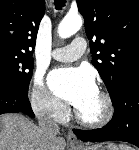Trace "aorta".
Segmentation results:
<instances>
[{"label":"aorta","instance_id":"obj_1","mask_svg":"<svg viewBox=\"0 0 139 150\" xmlns=\"http://www.w3.org/2000/svg\"><path fill=\"white\" fill-rule=\"evenodd\" d=\"M82 17L78 14L67 15L58 26V34L61 38H68L75 34L82 26Z\"/></svg>","mask_w":139,"mask_h":150}]
</instances>
